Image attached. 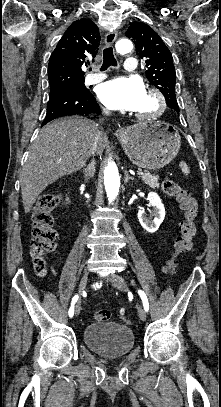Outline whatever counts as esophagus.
I'll use <instances>...</instances> for the list:
<instances>
[{
    "label": "esophagus",
    "instance_id": "esophagus-1",
    "mask_svg": "<svg viewBox=\"0 0 221 407\" xmlns=\"http://www.w3.org/2000/svg\"><path fill=\"white\" fill-rule=\"evenodd\" d=\"M117 31H110L106 34L104 43L106 46H111L117 38ZM126 130L124 128H118L115 131L117 137H122L125 134Z\"/></svg>",
    "mask_w": 221,
    "mask_h": 407
}]
</instances>
